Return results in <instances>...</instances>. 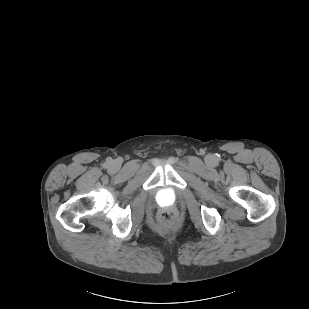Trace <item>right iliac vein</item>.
Here are the masks:
<instances>
[{
    "label": "right iliac vein",
    "instance_id": "obj_1",
    "mask_svg": "<svg viewBox=\"0 0 309 309\" xmlns=\"http://www.w3.org/2000/svg\"><path fill=\"white\" fill-rule=\"evenodd\" d=\"M120 163L118 161H113L111 164H110V169L113 171V172H117L119 169H120Z\"/></svg>",
    "mask_w": 309,
    "mask_h": 309
}]
</instances>
